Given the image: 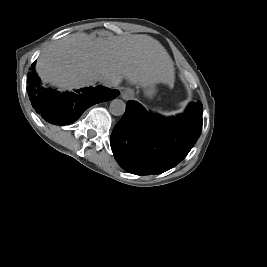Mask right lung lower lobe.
Instances as JSON below:
<instances>
[{
  "instance_id": "1",
  "label": "right lung lower lobe",
  "mask_w": 267,
  "mask_h": 267,
  "mask_svg": "<svg viewBox=\"0 0 267 267\" xmlns=\"http://www.w3.org/2000/svg\"><path fill=\"white\" fill-rule=\"evenodd\" d=\"M32 66H35V63ZM27 83L32 107L45 121L54 125L71 124L90 106L112 100L119 95V91L100 85L74 92H60L42 86L36 73L27 74Z\"/></svg>"
}]
</instances>
